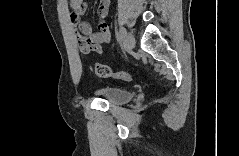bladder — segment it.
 Masks as SVG:
<instances>
[{
  "label": "bladder",
  "instance_id": "bladder-1",
  "mask_svg": "<svg viewBox=\"0 0 239 156\" xmlns=\"http://www.w3.org/2000/svg\"><path fill=\"white\" fill-rule=\"evenodd\" d=\"M95 93L113 105L126 104L133 98V93L130 90L122 88H100L96 89Z\"/></svg>",
  "mask_w": 239,
  "mask_h": 156
}]
</instances>
